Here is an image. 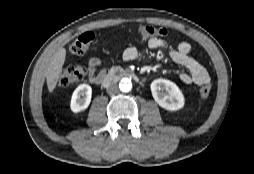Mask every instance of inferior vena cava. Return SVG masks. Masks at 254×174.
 I'll use <instances>...</instances> for the list:
<instances>
[{
	"instance_id": "obj_1",
	"label": "inferior vena cava",
	"mask_w": 254,
	"mask_h": 174,
	"mask_svg": "<svg viewBox=\"0 0 254 174\" xmlns=\"http://www.w3.org/2000/svg\"><path fill=\"white\" fill-rule=\"evenodd\" d=\"M106 91L109 95H114L118 92V86L116 83H111L107 88Z\"/></svg>"
}]
</instances>
